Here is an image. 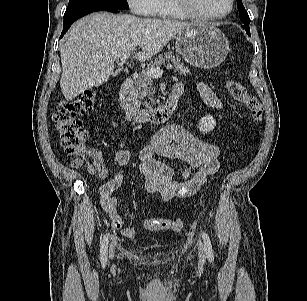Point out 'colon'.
I'll list each match as a JSON object with an SVG mask.
<instances>
[{
	"mask_svg": "<svg viewBox=\"0 0 307 301\" xmlns=\"http://www.w3.org/2000/svg\"><path fill=\"white\" fill-rule=\"evenodd\" d=\"M226 89L235 101L249 111L253 123L257 124L262 121V105L256 96L247 92L244 85L231 79L226 82ZM95 105L96 92L86 90L72 100L61 101L54 110L53 122L61 138L62 146L77 167L84 166L87 158L94 159L95 157V153L86 147V132L79 118L92 111ZM88 168L93 170L91 166ZM143 226L153 231L180 232L183 228V221L180 218H146Z\"/></svg>",
	"mask_w": 307,
	"mask_h": 301,
	"instance_id": "1",
	"label": "colon"
}]
</instances>
